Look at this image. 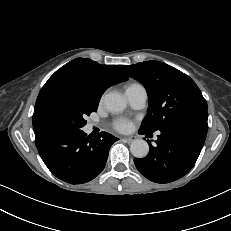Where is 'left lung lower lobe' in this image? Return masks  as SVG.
Returning a JSON list of instances; mask_svg holds the SVG:
<instances>
[{
	"label": "left lung lower lobe",
	"instance_id": "left-lung-lower-lobe-1",
	"mask_svg": "<svg viewBox=\"0 0 231 231\" xmlns=\"http://www.w3.org/2000/svg\"><path fill=\"white\" fill-rule=\"evenodd\" d=\"M207 130V122L195 120L174 123L161 129L155 141L156 146L148 141L149 154L145 158L134 159L136 168L144 177L156 183L178 180L194 166L204 145ZM148 132L139 129L140 134Z\"/></svg>",
	"mask_w": 231,
	"mask_h": 231
}]
</instances>
